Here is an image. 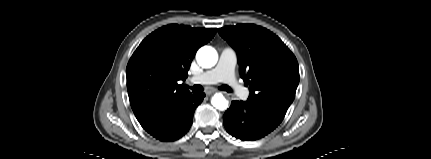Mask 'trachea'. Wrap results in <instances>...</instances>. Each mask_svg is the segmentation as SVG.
<instances>
[{"instance_id": "trachea-1", "label": "trachea", "mask_w": 431, "mask_h": 159, "mask_svg": "<svg viewBox=\"0 0 431 159\" xmlns=\"http://www.w3.org/2000/svg\"><path fill=\"white\" fill-rule=\"evenodd\" d=\"M192 89L193 93H202L204 88L201 85H194L193 87H190ZM219 89L227 92H232L231 88L227 85H222L219 87Z\"/></svg>"}]
</instances>
